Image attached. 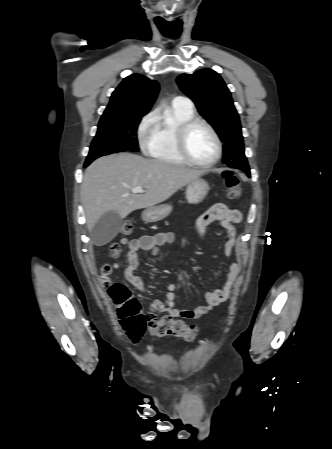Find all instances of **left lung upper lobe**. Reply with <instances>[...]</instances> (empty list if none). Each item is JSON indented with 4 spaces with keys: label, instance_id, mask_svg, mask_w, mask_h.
I'll return each mask as SVG.
<instances>
[{
    "label": "left lung upper lobe",
    "instance_id": "5c2ea615",
    "mask_svg": "<svg viewBox=\"0 0 332 449\" xmlns=\"http://www.w3.org/2000/svg\"><path fill=\"white\" fill-rule=\"evenodd\" d=\"M177 83L224 143L223 163L250 176L239 116L221 76L211 69H202L192 75L181 74Z\"/></svg>",
    "mask_w": 332,
    "mask_h": 449
}]
</instances>
